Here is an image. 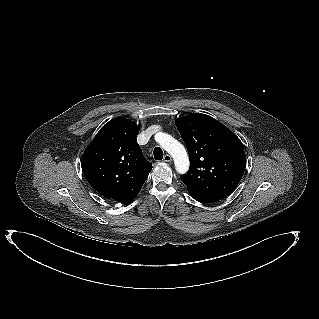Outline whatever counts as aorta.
<instances>
[{
  "label": "aorta",
  "instance_id": "obj_1",
  "mask_svg": "<svg viewBox=\"0 0 319 319\" xmlns=\"http://www.w3.org/2000/svg\"><path fill=\"white\" fill-rule=\"evenodd\" d=\"M157 142L173 158L176 171L179 174H185L189 169V158L184 146L166 133H159Z\"/></svg>",
  "mask_w": 319,
  "mask_h": 319
}]
</instances>
